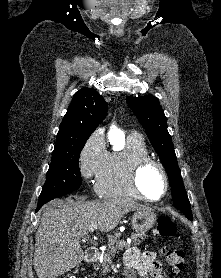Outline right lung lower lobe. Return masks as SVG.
Wrapping results in <instances>:
<instances>
[{
    "label": "right lung lower lobe",
    "instance_id": "1",
    "mask_svg": "<svg viewBox=\"0 0 221 278\" xmlns=\"http://www.w3.org/2000/svg\"><path fill=\"white\" fill-rule=\"evenodd\" d=\"M41 206H42V205H38L37 210H38ZM37 210H36V211H37Z\"/></svg>",
    "mask_w": 221,
    "mask_h": 278
}]
</instances>
